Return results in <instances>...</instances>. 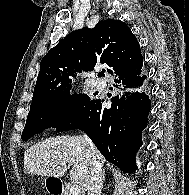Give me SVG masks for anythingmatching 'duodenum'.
I'll return each instance as SVG.
<instances>
[{
    "mask_svg": "<svg viewBox=\"0 0 189 195\" xmlns=\"http://www.w3.org/2000/svg\"><path fill=\"white\" fill-rule=\"evenodd\" d=\"M50 193L51 195H63L64 194V190L62 186L60 185L59 181L54 180L51 182Z\"/></svg>",
    "mask_w": 189,
    "mask_h": 195,
    "instance_id": "410a0bca",
    "label": "duodenum"
}]
</instances>
